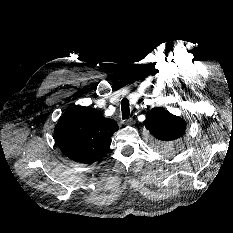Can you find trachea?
<instances>
[{
	"mask_svg": "<svg viewBox=\"0 0 233 233\" xmlns=\"http://www.w3.org/2000/svg\"><path fill=\"white\" fill-rule=\"evenodd\" d=\"M122 119L126 120L130 115L129 100L124 98L121 101Z\"/></svg>",
	"mask_w": 233,
	"mask_h": 233,
	"instance_id": "1",
	"label": "trachea"
}]
</instances>
